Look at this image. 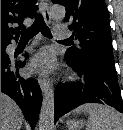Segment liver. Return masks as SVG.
I'll list each match as a JSON object with an SVG mask.
<instances>
[{"label":"liver","instance_id":"6515ba94","mask_svg":"<svg viewBox=\"0 0 123 130\" xmlns=\"http://www.w3.org/2000/svg\"><path fill=\"white\" fill-rule=\"evenodd\" d=\"M23 120L18 105L10 97L1 93V130H20Z\"/></svg>","mask_w":123,"mask_h":130}]
</instances>
